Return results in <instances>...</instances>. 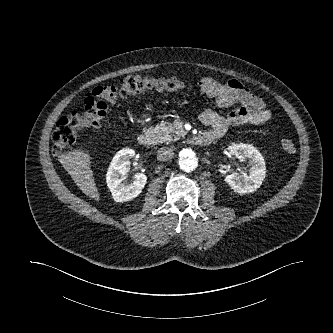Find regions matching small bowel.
Here are the masks:
<instances>
[{
  "label": "small bowel",
  "instance_id": "c3829d8e",
  "mask_svg": "<svg viewBox=\"0 0 333 333\" xmlns=\"http://www.w3.org/2000/svg\"><path fill=\"white\" fill-rule=\"evenodd\" d=\"M197 87L200 92L215 98L219 107L239 104L238 108L227 115L212 109H206L200 114V121L210 127L208 133L213 138L222 136L229 125H261L271 117L264 101L238 80L230 79L222 83L212 77H202L198 80Z\"/></svg>",
  "mask_w": 333,
  "mask_h": 333
}]
</instances>
